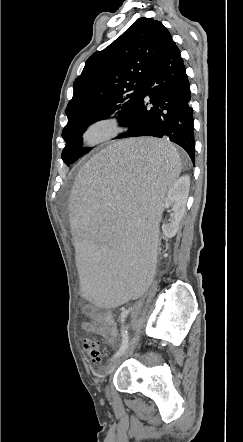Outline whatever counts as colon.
Segmentation results:
<instances>
[{"instance_id": "5ec220e1", "label": "colon", "mask_w": 243, "mask_h": 442, "mask_svg": "<svg viewBox=\"0 0 243 442\" xmlns=\"http://www.w3.org/2000/svg\"><path fill=\"white\" fill-rule=\"evenodd\" d=\"M157 235L158 256L163 258L168 251V238L163 229H158ZM83 350L95 364H101L106 355V350L100 346L98 339L94 336L86 337L83 340Z\"/></svg>"}]
</instances>
